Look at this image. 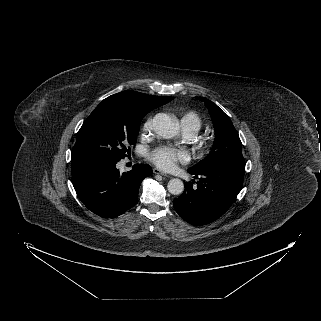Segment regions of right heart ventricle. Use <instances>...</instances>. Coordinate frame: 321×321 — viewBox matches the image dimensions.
Returning <instances> with one entry per match:
<instances>
[{"label":"right heart ventricle","mask_w":321,"mask_h":321,"mask_svg":"<svg viewBox=\"0 0 321 321\" xmlns=\"http://www.w3.org/2000/svg\"><path fill=\"white\" fill-rule=\"evenodd\" d=\"M181 124L183 129H189L196 133L202 126V119L197 112L190 110L181 117Z\"/></svg>","instance_id":"obj_1"}]
</instances>
